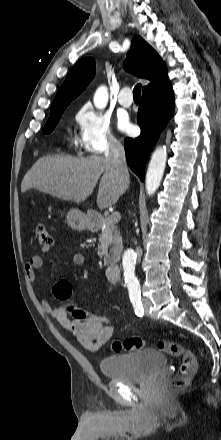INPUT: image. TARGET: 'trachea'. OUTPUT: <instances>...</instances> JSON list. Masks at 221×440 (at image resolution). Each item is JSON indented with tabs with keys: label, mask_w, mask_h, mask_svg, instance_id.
I'll return each mask as SVG.
<instances>
[{
	"label": "trachea",
	"mask_w": 221,
	"mask_h": 440,
	"mask_svg": "<svg viewBox=\"0 0 221 440\" xmlns=\"http://www.w3.org/2000/svg\"><path fill=\"white\" fill-rule=\"evenodd\" d=\"M140 94H141V84H137L133 89L134 99H140Z\"/></svg>",
	"instance_id": "1"
}]
</instances>
